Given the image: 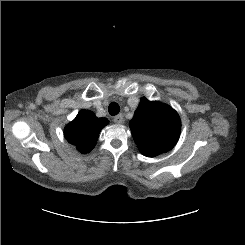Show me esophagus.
I'll return each mask as SVG.
<instances>
[{
    "label": "esophagus",
    "mask_w": 245,
    "mask_h": 245,
    "mask_svg": "<svg viewBox=\"0 0 245 245\" xmlns=\"http://www.w3.org/2000/svg\"><path fill=\"white\" fill-rule=\"evenodd\" d=\"M113 122L116 124H122L124 122V117L122 114H118L113 118Z\"/></svg>",
    "instance_id": "34e87169"
}]
</instances>
